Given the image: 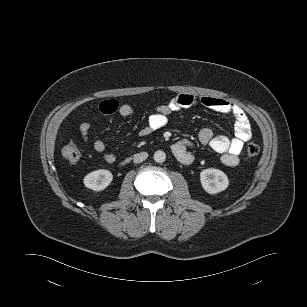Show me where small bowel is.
<instances>
[{
    "label": "small bowel",
    "instance_id": "small-bowel-1",
    "mask_svg": "<svg viewBox=\"0 0 307 307\" xmlns=\"http://www.w3.org/2000/svg\"><path fill=\"white\" fill-rule=\"evenodd\" d=\"M202 105L213 111L230 114L234 117V137L229 138L226 135H215L210 128L200 130L198 139L201 145L209 146L215 152L221 154V161L224 165L234 167L239 163V155L243 149L244 143L252 136L251 125L244 110L238 105L217 97L195 96L192 94H179L171 99L167 104L159 105L149 116L147 125L141 130L142 136L148 135L164 127L169 116L176 111L194 105ZM99 109L104 114L118 113L122 117H129L134 109L129 104H119L115 100H105L99 105ZM91 124L89 121H83L79 125V133L82 139L88 143ZM92 146L96 152L103 153V159L107 163H114L116 156L113 153L105 152V143L102 140H95ZM194 145L190 140H179L172 144L171 150L178 161L184 165H189L194 160L192 152Z\"/></svg>",
    "mask_w": 307,
    "mask_h": 307
}]
</instances>
